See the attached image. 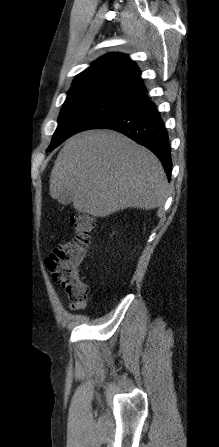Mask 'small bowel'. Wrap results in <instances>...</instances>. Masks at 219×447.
<instances>
[{
  "mask_svg": "<svg viewBox=\"0 0 219 447\" xmlns=\"http://www.w3.org/2000/svg\"><path fill=\"white\" fill-rule=\"evenodd\" d=\"M86 308V301L85 302H71L69 305V309L72 311H81Z\"/></svg>",
  "mask_w": 219,
  "mask_h": 447,
  "instance_id": "c3829d8e",
  "label": "small bowel"
}]
</instances>
